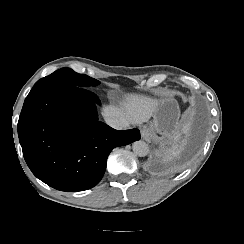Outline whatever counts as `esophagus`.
<instances>
[{"instance_id": "34e87169", "label": "esophagus", "mask_w": 244, "mask_h": 244, "mask_svg": "<svg viewBox=\"0 0 244 244\" xmlns=\"http://www.w3.org/2000/svg\"><path fill=\"white\" fill-rule=\"evenodd\" d=\"M141 136L144 140L148 141L150 136V131L147 127L141 129Z\"/></svg>"}]
</instances>
